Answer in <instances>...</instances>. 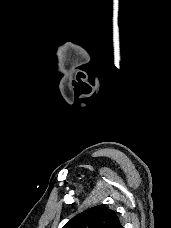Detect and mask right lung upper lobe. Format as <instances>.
Returning a JSON list of instances; mask_svg holds the SVG:
<instances>
[{
    "label": "right lung upper lobe",
    "instance_id": "cb5924a9",
    "mask_svg": "<svg viewBox=\"0 0 171 228\" xmlns=\"http://www.w3.org/2000/svg\"><path fill=\"white\" fill-rule=\"evenodd\" d=\"M63 228H123V226L113 210L99 205L76 215Z\"/></svg>",
    "mask_w": 171,
    "mask_h": 228
}]
</instances>
